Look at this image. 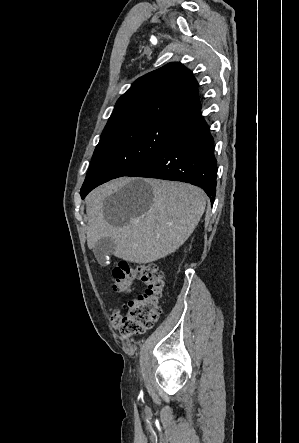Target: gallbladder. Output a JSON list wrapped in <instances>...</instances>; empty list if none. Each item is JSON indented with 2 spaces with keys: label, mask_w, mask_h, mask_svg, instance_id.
I'll return each mask as SVG.
<instances>
[{
  "label": "gallbladder",
  "mask_w": 299,
  "mask_h": 443,
  "mask_svg": "<svg viewBox=\"0 0 299 443\" xmlns=\"http://www.w3.org/2000/svg\"><path fill=\"white\" fill-rule=\"evenodd\" d=\"M115 248L114 240L110 237L101 238L93 248L94 255L100 265H105Z\"/></svg>",
  "instance_id": "obj_1"
}]
</instances>
